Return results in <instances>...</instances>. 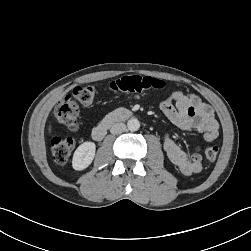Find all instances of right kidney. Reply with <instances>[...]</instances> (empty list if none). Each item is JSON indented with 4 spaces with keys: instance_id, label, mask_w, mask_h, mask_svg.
Segmentation results:
<instances>
[{
    "instance_id": "1",
    "label": "right kidney",
    "mask_w": 251,
    "mask_h": 251,
    "mask_svg": "<svg viewBox=\"0 0 251 251\" xmlns=\"http://www.w3.org/2000/svg\"><path fill=\"white\" fill-rule=\"evenodd\" d=\"M96 146L93 142L82 143L74 152L72 166L74 170L86 169L95 157Z\"/></svg>"
}]
</instances>
